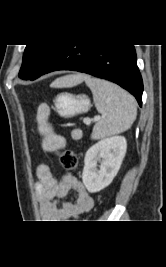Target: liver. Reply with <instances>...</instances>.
<instances>
[{
	"label": "liver",
	"instance_id": "obj_1",
	"mask_svg": "<svg viewBox=\"0 0 166 267\" xmlns=\"http://www.w3.org/2000/svg\"><path fill=\"white\" fill-rule=\"evenodd\" d=\"M87 76L84 74H74V75H68L62 78H59L55 80L50 86L53 88L56 87H73L75 85H78L82 83L84 80H86Z\"/></svg>",
	"mask_w": 166,
	"mask_h": 267
}]
</instances>
